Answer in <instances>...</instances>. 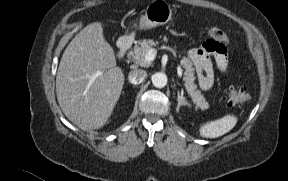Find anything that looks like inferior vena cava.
Instances as JSON below:
<instances>
[{
  "label": "inferior vena cava",
  "mask_w": 288,
  "mask_h": 181,
  "mask_svg": "<svg viewBox=\"0 0 288 181\" xmlns=\"http://www.w3.org/2000/svg\"><path fill=\"white\" fill-rule=\"evenodd\" d=\"M147 72L142 69H135L129 72L128 80L132 84H140L146 78Z\"/></svg>",
  "instance_id": "602c4592"
}]
</instances>
